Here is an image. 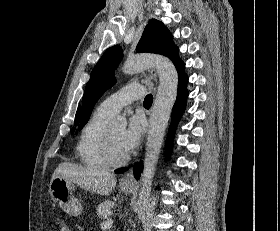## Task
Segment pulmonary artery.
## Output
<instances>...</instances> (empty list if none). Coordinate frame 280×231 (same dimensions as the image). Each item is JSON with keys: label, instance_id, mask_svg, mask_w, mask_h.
Here are the masks:
<instances>
[{"label": "pulmonary artery", "instance_id": "obj_1", "mask_svg": "<svg viewBox=\"0 0 280 231\" xmlns=\"http://www.w3.org/2000/svg\"><path fill=\"white\" fill-rule=\"evenodd\" d=\"M145 94L146 89L142 85L137 83L129 84L103 100L96 110L114 115L126 105L142 99Z\"/></svg>", "mask_w": 280, "mask_h": 231}]
</instances>
